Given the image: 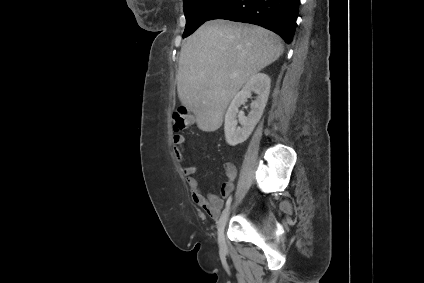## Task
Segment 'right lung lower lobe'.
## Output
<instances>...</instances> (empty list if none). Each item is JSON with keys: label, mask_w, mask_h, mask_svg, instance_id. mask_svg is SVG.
Masks as SVG:
<instances>
[{"label": "right lung lower lobe", "mask_w": 424, "mask_h": 283, "mask_svg": "<svg viewBox=\"0 0 424 283\" xmlns=\"http://www.w3.org/2000/svg\"><path fill=\"white\" fill-rule=\"evenodd\" d=\"M300 0H228L209 20L226 19L256 24L291 43Z\"/></svg>", "instance_id": "98d812e1"}]
</instances>
